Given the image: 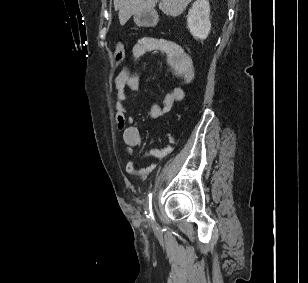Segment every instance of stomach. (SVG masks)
Instances as JSON below:
<instances>
[{"label": "stomach", "instance_id": "stomach-1", "mask_svg": "<svg viewBox=\"0 0 308 283\" xmlns=\"http://www.w3.org/2000/svg\"><path fill=\"white\" fill-rule=\"evenodd\" d=\"M134 21L139 26H149L153 23V15L149 11L140 12L134 16Z\"/></svg>", "mask_w": 308, "mask_h": 283}]
</instances>
